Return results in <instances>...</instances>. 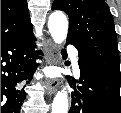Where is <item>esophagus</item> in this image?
<instances>
[{"label":"esophagus","mask_w":121,"mask_h":113,"mask_svg":"<svg viewBox=\"0 0 121 113\" xmlns=\"http://www.w3.org/2000/svg\"><path fill=\"white\" fill-rule=\"evenodd\" d=\"M46 63L48 65H55L57 62V52H56V48L55 45L48 40L47 44H46ZM59 86V81L57 79H50L47 81L46 83V90H47V94L48 95H52L54 94Z\"/></svg>","instance_id":"34e87169"}]
</instances>
